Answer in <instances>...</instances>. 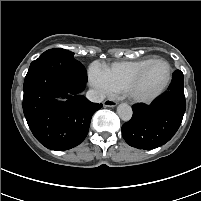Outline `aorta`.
Listing matches in <instances>:
<instances>
[{
    "instance_id": "762f6f07",
    "label": "aorta",
    "mask_w": 201,
    "mask_h": 201,
    "mask_svg": "<svg viewBox=\"0 0 201 201\" xmlns=\"http://www.w3.org/2000/svg\"><path fill=\"white\" fill-rule=\"evenodd\" d=\"M117 113L123 121H129L132 117L133 111L128 104L122 103L117 107Z\"/></svg>"
}]
</instances>
